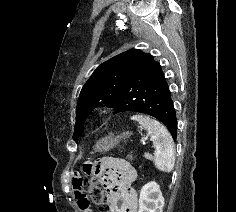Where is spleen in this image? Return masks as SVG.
I'll use <instances>...</instances> for the list:
<instances>
[{"label":"spleen","instance_id":"spleen-1","mask_svg":"<svg viewBox=\"0 0 236 212\" xmlns=\"http://www.w3.org/2000/svg\"><path fill=\"white\" fill-rule=\"evenodd\" d=\"M131 120L137 121L150 136L155 148V166L161 171L171 172L175 163V147L166 127L146 115H134Z\"/></svg>","mask_w":236,"mask_h":212}]
</instances>
